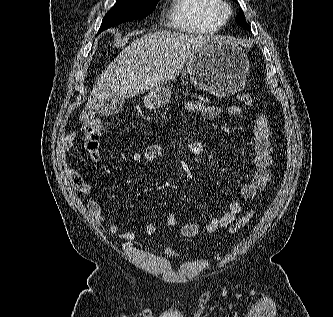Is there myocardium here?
<instances>
[{"label": "myocardium", "instance_id": "1", "mask_svg": "<svg viewBox=\"0 0 333 317\" xmlns=\"http://www.w3.org/2000/svg\"><path fill=\"white\" fill-rule=\"evenodd\" d=\"M214 9L215 13L225 21L232 15V7L226 0H216Z\"/></svg>", "mask_w": 333, "mask_h": 317}]
</instances>
